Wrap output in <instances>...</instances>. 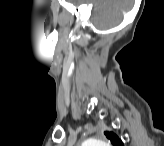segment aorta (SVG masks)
Returning <instances> with one entry per match:
<instances>
[{
    "label": "aorta",
    "mask_w": 164,
    "mask_h": 146,
    "mask_svg": "<svg viewBox=\"0 0 164 146\" xmlns=\"http://www.w3.org/2000/svg\"><path fill=\"white\" fill-rule=\"evenodd\" d=\"M83 146H108V143L101 139L90 138L83 142Z\"/></svg>",
    "instance_id": "aorta-1"
}]
</instances>
